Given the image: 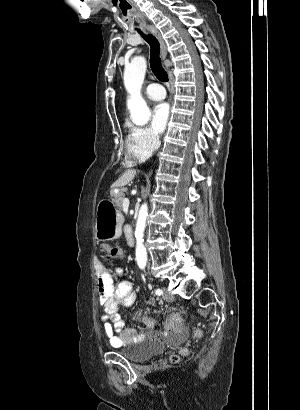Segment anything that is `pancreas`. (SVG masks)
<instances>
[{"instance_id": "cf45deb5", "label": "pancreas", "mask_w": 300, "mask_h": 410, "mask_svg": "<svg viewBox=\"0 0 300 410\" xmlns=\"http://www.w3.org/2000/svg\"><path fill=\"white\" fill-rule=\"evenodd\" d=\"M111 196H112V198H113V201L115 202V204H116V206L119 208V209H122V204H123V200H124V193H123V191H120L119 193H114V192H112L111 193Z\"/></svg>"}]
</instances>
